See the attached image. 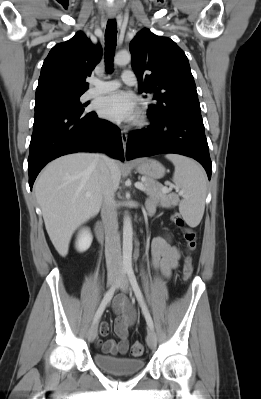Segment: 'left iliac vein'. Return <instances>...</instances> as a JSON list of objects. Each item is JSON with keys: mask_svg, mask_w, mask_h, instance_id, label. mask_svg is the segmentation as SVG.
Wrapping results in <instances>:
<instances>
[{"mask_svg": "<svg viewBox=\"0 0 261 399\" xmlns=\"http://www.w3.org/2000/svg\"><path fill=\"white\" fill-rule=\"evenodd\" d=\"M129 287H130V285H129L128 278L126 276L122 277V280H121V283L119 286L120 290L123 292H128ZM146 342L151 349H154L156 347V343H157L156 334L152 329H150L147 333Z\"/></svg>", "mask_w": 261, "mask_h": 399, "instance_id": "obj_1", "label": "left iliac vein"}]
</instances>
